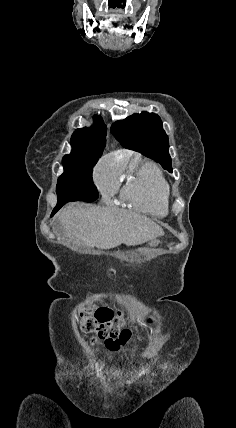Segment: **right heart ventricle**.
I'll return each instance as SVG.
<instances>
[{
	"instance_id": "e07e8e85",
	"label": "right heart ventricle",
	"mask_w": 236,
	"mask_h": 428,
	"mask_svg": "<svg viewBox=\"0 0 236 428\" xmlns=\"http://www.w3.org/2000/svg\"><path fill=\"white\" fill-rule=\"evenodd\" d=\"M119 169L122 173L126 172L121 191L125 201L133 208L152 215H163L167 212L171 185L158 167L148 161L129 165L124 160L119 163Z\"/></svg>"
}]
</instances>
